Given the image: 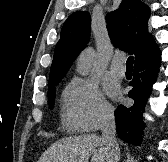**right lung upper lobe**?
Returning a JSON list of instances; mask_svg holds the SVG:
<instances>
[{"label":"right lung upper lobe","mask_w":168,"mask_h":162,"mask_svg":"<svg viewBox=\"0 0 168 162\" xmlns=\"http://www.w3.org/2000/svg\"><path fill=\"white\" fill-rule=\"evenodd\" d=\"M150 9L140 0H122L120 7L107 14V29L115 47L135 55V62L156 52L158 47L148 33ZM90 14H71L55 47L48 85L61 81L90 39Z\"/></svg>","instance_id":"cb5924a9"}]
</instances>
